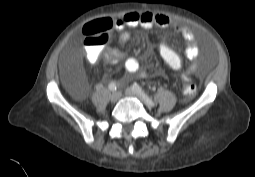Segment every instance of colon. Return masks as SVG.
<instances>
[{"label": "colon", "instance_id": "colon-1", "mask_svg": "<svg viewBox=\"0 0 255 177\" xmlns=\"http://www.w3.org/2000/svg\"><path fill=\"white\" fill-rule=\"evenodd\" d=\"M110 28L111 23L105 18L87 23L83 28L84 42L88 45L106 44L109 41ZM155 40V47L161 54L163 62L176 69L180 83L186 85L185 95L193 97L196 93V86L192 83L193 76L177 48L168 41V35L164 31L157 32Z\"/></svg>", "mask_w": 255, "mask_h": 177}]
</instances>
